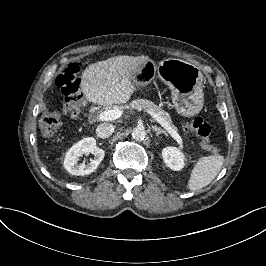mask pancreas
<instances>
[{"mask_svg": "<svg viewBox=\"0 0 266 266\" xmlns=\"http://www.w3.org/2000/svg\"><path fill=\"white\" fill-rule=\"evenodd\" d=\"M130 106L137 109V110H144L145 112H154L165 121L171 123V117L168 112L163 110L160 106L154 104L152 101L147 99H136L130 103ZM173 129L177 131L175 126H172Z\"/></svg>", "mask_w": 266, "mask_h": 266, "instance_id": "pancreas-1", "label": "pancreas"}]
</instances>
